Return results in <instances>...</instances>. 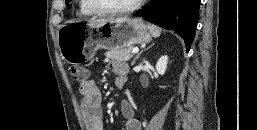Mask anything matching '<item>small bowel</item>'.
Returning a JSON list of instances; mask_svg holds the SVG:
<instances>
[{
	"instance_id": "obj_1",
	"label": "small bowel",
	"mask_w": 257,
	"mask_h": 130,
	"mask_svg": "<svg viewBox=\"0 0 257 130\" xmlns=\"http://www.w3.org/2000/svg\"><path fill=\"white\" fill-rule=\"evenodd\" d=\"M111 69L115 74V85L122 88L126 83L128 65L125 62H113ZM81 111L87 130H103L104 120L102 112V95L99 88L90 80L80 83ZM120 110L125 125L123 130H141V122L128 101H122Z\"/></svg>"
}]
</instances>
